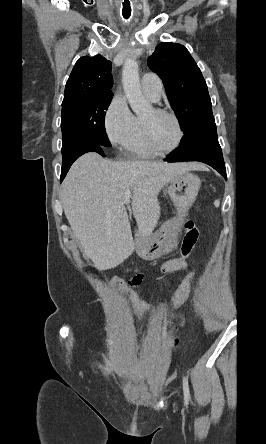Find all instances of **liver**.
I'll use <instances>...</instances> for the list:
<instances>
[{
  "mask_svg": "<svg viewBox=\"0 0 266 444\" xmlns=\"http://www.w3.org/2000/svg\"><path fill=\"white\" fill-rule=\"evenodd\" d=\"M202 169L197 163L113 161L94 152L81 156L62 183L61 199L84 256L100 271L123 263L135 249L125 191L131 192L133 216L144 239L159 219L160 190L179 175Z\"/></svg>",
  "mask_w": 266,
  "mask_h": 444,
  "instance_id": "liver-1",
  "label": "liver"
}]
</instances>
